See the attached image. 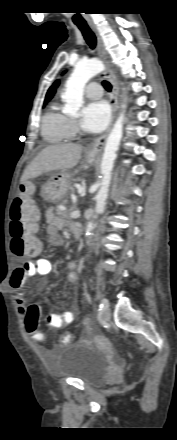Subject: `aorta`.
<instances>
[{
	"label": "aorta",
	"instance_id": "762f6f07",
	"mask_svg": "<svg viewBox=\"0 0 177 440\" xmlns=\"http://www.w3.org/2000/svg\"><path fill=\"white\" fill-rule=\"evenodd\" d=\"M103 70L104 65L98 59L80 61L76 64L73 73L66 82V89L64 93L66 105L63 110L64 113L68 115L77 114L83 104V92L86 83L93 76L97 75ZM122 107L125 108L126 106L123 105ZM123 120L124 114L121 113L106 140L101 162L102 179L100 188L96 195L95 215L93 216V219L97 218V215L102 212L106 206L114 160L116 158V152L123 135ZM94 227L95 225L93 220L87 223V243H89L92 238Z\"/></svg>",
	"mask_w": 177,
	"mask_h": 440
}]
</instances>
